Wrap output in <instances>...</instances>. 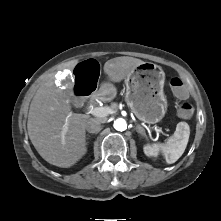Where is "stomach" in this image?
I'll return each mask as SVG.
<instances>
[{"label": "stomach", "instance_id": "obj_1", "mask_svg": "<svg viewBox=\"0 0 221 221\" xmlns=\"http://www.w3.org/2000/svg\"><path fill=\"white\" fill-rule=\"evenodd\" d=\"M164 82L163 70L151 62L136 66L126 77L125 100L140 120L154 124L165 116L167 99L163 90ZM110 89L109 84L101 88L106 93H109Z\"/></svg>", "mask_w": 221, "mask_h": 221}]
</instances>
